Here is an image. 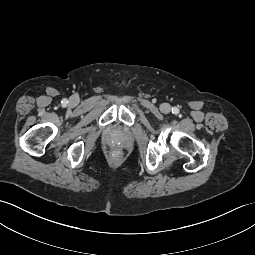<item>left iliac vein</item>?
<instances>
[{"label": "left iliac vein", "instance_id": "1", "mask_svg": "<svg viewBox=\"0 0 255 255\" xmlns=\"http://www.w3.org/2000/svg\"><path fill=\"white\" fill-rule=\"evenodd\" d=\"M160 110H161V112L167 114L171 111V106L168 103H162L160 106Z\"/></svg>", "mask_w": 255, "mask_h": 255}]
</instances>
